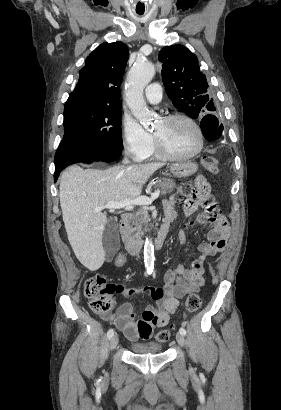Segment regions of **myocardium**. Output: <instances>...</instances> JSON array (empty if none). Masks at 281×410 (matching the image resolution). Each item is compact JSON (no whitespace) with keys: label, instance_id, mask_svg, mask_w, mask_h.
Here are the masks:
<instances>
[{"label":"myocardium","instance_id":"myocardium-1","mask_svg":"<svg viewBox=\"0 0 281 410\" xmlns=\"http://www.w3.org/2000/svg\"><path fill=\"white\" fill-rule=\"evenodd\" d=\"M177 119L185 120L194 127L197 133V136H198L197 148L189 154H174L170 152L163 145L161 140L156 135L153 134L154 145L157 150V153L159 154V156L167 160H186V159L194 158L195 156L201 153L204 147V134H203L202 128L200 127V125L197 123V121L194 118L184 113L168 114L162 118V121L170 122V121L177 120Z\"/></svg>","mask_w":281,"mask_h":410}]
</instances>
